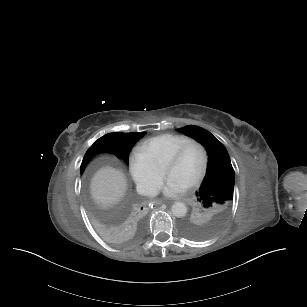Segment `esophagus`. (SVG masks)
I'll return each mask as SVG.
<instances>
[{
  "label": "esophagus",
  "mask_w": 307,
  "mask_h": 307,
  "mask_svg": "<svg viewBox=\"0 0 307 307\" xmlns=\"http://www.w3.org/2000/svg\"><path fill=\"white\" fill-rule=\"evenodd\" d=\"M154 204L155 205H161V204H163V201H161V200H154Z\"/></svg>",
  "instance_id": "1"
}]
</instances>
